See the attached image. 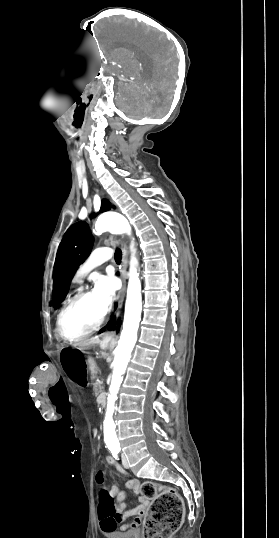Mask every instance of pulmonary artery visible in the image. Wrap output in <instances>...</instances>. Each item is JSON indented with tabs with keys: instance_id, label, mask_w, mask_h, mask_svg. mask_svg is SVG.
I'll return each mask as SVG.
<instances>
[{
	"instance_id": "pulmonary-artery-1",
	"label": "pulmonary artery",
	"mask_w": 279,
	"mask_h": 538,
	"mask_svg": "<svg viewBox=\"0 0 279 538\" xmlns=\"http://www.w3.org/2000/svg\"><path fill=\"white\" fill-rule=\"evenodd\" d=\"M109 256H106L100 260H93L91 261L90 263H85L83 264L79 270L77 271V274H76V279L77 280H81L82 277H84L88 272H90L93 268H95L97 265H99L100 263L102 262H105L107 260H109ZM93 262H97V264H93Z\"/></svg>"
}]
</instances>
